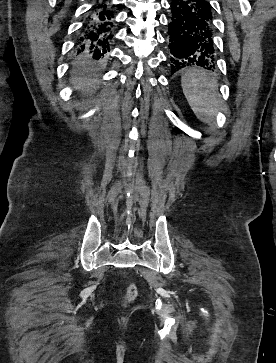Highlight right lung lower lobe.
Instances as JSON below:
<instances>
[{
    "mask_svg": "<svg viewBox=\"0 0 276 363\" xmlns=\"http://www.w3.org/2000/svg\"><path fill=\"white\" fill-rule=\"evenodd\" d=\"M110 2L111 0H95L76 42L78 52L90 50L99 59L110 51L109 44L115 26V13Z\"/></svg>",
    "mask_w": 276,
    "mask_h": 363,
    "instance_id": "1",
    "label": "right lung lower lobe"
}]
</instances>
